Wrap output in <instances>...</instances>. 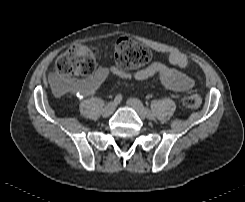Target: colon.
Returning <instances> with one entry per match:
<instances>
[{"mask_svg":"<svg viewBox=\"0 0 245 202\" xmlns=\"http://www.w3.org/2000/svg\"><path fill=\"white\" fill-rule=\"evenodd\" d=\"M114 57L118 66L124 70H134L146 66L151 58L149 49L135 40L124 36L114 43ZM96 61L94 55L84 44H76L64 51L55 62L54 81L62 91L76 90V79L91 75ZM201 103L197 93L187 96L183 105L186 109H196Z\"/></svg>","mask_w":245,"mask_h":202,"instance_id":"5ec220e1","label":"colon"}]
</instances>
